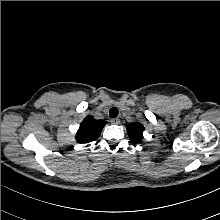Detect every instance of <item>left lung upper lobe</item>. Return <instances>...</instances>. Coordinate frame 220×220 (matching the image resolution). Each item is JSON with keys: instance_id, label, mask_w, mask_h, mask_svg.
Instances as JSON below:
<instances>
[{"instance_id": "left-lung-upper-lobe-1", "label": "left lung upper lobe", "mask_w": 220, "mask_h": 220, "mask_svg": "<svg viewBox=\"0 0 220 220\" xmlns=\"http://www.w3.org/2000/svg\"><path fill=\"white\" fill-rule=\"evenodd\" d=\"M144 126L139 122L127 125V132L132 142L136 143L143 139Z\"/></svg>"}]
</instances>
